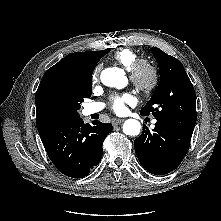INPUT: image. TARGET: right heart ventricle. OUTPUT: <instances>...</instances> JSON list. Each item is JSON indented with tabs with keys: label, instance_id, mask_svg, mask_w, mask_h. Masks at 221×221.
I'll use <instances>...</instances> for the list:
<instances>
[{
	"label": "right heart ventricle",
	"instance_id": "obj_1",
	"mask_svg": "<svg viewBox=\"0 0 221 221\" xmlns=\"http://www.w3.org/2000/svg\"><path fill=\"white\" fill-rule=\"evenodd\" d=\"M114 60L130 71L134 62L139 59L135 51L129 48L119 49L113 56Z\"/></svg>",
	"mask_w": 221,
	"mask_h": 221
}]
</instances>
